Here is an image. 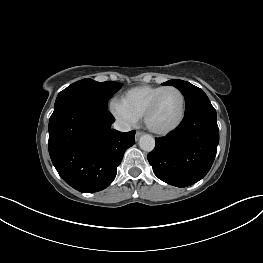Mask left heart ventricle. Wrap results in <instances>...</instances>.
<instances>
[{
  "mask_svg": "<svg viewBox=\"0 0 263 263\" xmlns=\"http://www.w3.org/2000/svg\"><path fill=\"white\" fill-rule=\"evenodd\" d=\"M181 110L182 99L180 94L175 90H169L160 99L149 122L154 128L169 127L178 120Z\"/></svg>",
  "mask_w": 263,
  "mask_h": 263,
  "instance_id": "left-heart-ventricle-1",
  "label": "left heart ventricle"
}]
</instances>
